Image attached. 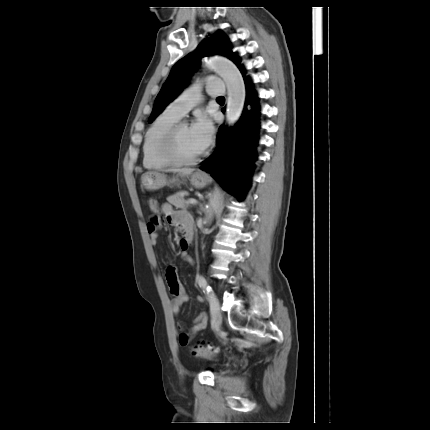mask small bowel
<instances>
[{
    "label": "small bowel",
    "instance_id": "obj_1",
    "mask_svg": "<svg viewBox=\"0 0 430 430\" xmlns=\"http://www.w3.org/2000/svg\"><path fill=\"white\" fill-rule=\"evenodd\" d=\"M165 219L161 220L159 218L151 219L147 224V231L149 234V241L152 246H155L158 242L159 230L163 228L165 224H170L176 227L179 233H181L182 238L180 240V248L182 251V258L187 261L190 265H194L195 261L187 254V249L189 246V238L193 235L192 221L190 217L182 212L177 211L169 203H164L161 207ZM168 286L170 293L172 295L171 307L174 314H178L184 304L188 302V296L177 279V274L174 268H169L166 274ZM198 302H202V297H197ZM207 315L205 313H200L194 321V326L188 332H181L178 337V343L180 346L186 347L189 345L193 336L198 332L205 329L207 325Z\"/></svg>",
    "mask_w": 430,
    "mask_h": 430
}]
</instances>
